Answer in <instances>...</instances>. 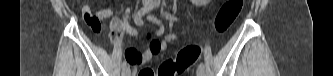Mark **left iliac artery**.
I'll return each mask as SVG.
<instances>
[{"instance_id": "44dca946", "label": "left iliac artery", "mask_w": 333, "mask_h": 76, "mask_svg": "<svg viewBox=\"0 0 333 76\" xmlns=\"http://www.w3.org/2000/svg\"><path fill=\"white\" fill-rule=\"evenodd\" d=\"M164 15H165V17H166L167 19H170V20H177L176 17L172 16V15L169 14L168 12H164ZM199 68L204 69V68H205L204 64H203V63H200Z\"/></svg>"}]
</instances>
